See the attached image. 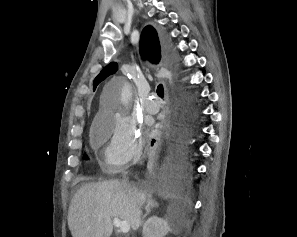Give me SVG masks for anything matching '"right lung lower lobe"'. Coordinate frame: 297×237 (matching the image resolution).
I'll list each match as a JSON object with an SVG mask.
<instances>
[{
  "label": "right lung lower lobe",
  "mask_w": 297,
  "mask_h": 237,
  "mask_svg": "<svg viewBox=\"0 0 297 237\" xmlns=\"http://www.w3.org/2000/svg\"><path fill=\"white\" fill-rule=\"evenodd\" d=\"M154 140L152 141V143ZM186 155L185 146L181 137L178 135L175 137L171 146L170 153L164 165L162 166L161 172L163 176L174 174L182 170L186 166Z\"/></svg>",
  "instance_id": "right-lung-lower-lobe-1"
}]
</instances>
